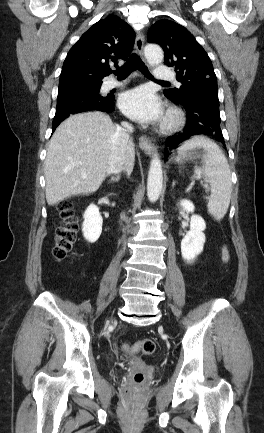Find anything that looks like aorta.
Here are the masks:
<instances>
[{
  "instance_id": "obj_1",
  "label": "aorta",
  "mask_w": 264,
  "mask_h": 433,
  "mask_svg": "<svg viewBox=\"0 0 264 433\" xmlns=\"http://www.w3.org/2000/svg\"><path fill=\"white\" fill-rule=\"evenodd\" d=\"M145 57L150 65L162 62L164 54L158 45L148 44L144 50ZM163 188V173L161 160L157 154L152 157L147 180V196L150 202H156Z\"/></svg>"
}]
</instances>
